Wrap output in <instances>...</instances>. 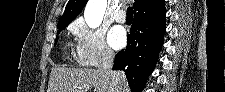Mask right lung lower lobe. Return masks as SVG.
<instances>
[{
	"label": "right lung lower lobe",
	"mask_w": 225,
	"mask_h": 92,
	"mask_svg": "<svg viewBox=\"0 0 225 92\" xmlns=\"http://www.w3.org/2000/svg\"><path fill=\"white\" fill-rule=\"evenodd\" d=\"M166 10L150 16L135 17L127 47L115 56L114 70H123L133 92H140L154 70L166 30Z\"/></svg>",
	"instance_id": "obj_1"
}]
</instances>
